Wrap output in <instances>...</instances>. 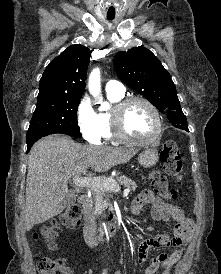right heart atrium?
<instances>
[{
	"mask_svg": "<svg viewBox=\"0 0 221 274\" xmlns=\"http://www.w3.org/2000/svg\"><path fill=\"white\" fill-rule=\"evenodd\" d=\"M76 118L84 139L90 143H98L102 138V126L98 113L87 96L82 97L78 103Z\"/></svg>",
	"mask_w": 221,
	"mask_h": 274,
	"instance_id": "right-heart-atrium-1",
	"label": "right heart atrium"
}]
</instances>
